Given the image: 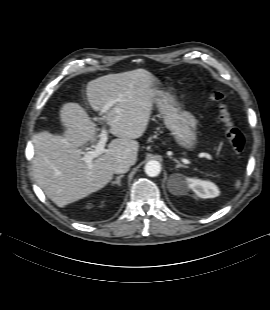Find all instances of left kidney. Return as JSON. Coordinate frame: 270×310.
<instances>
[{
  "instance_id": "1",
  "label": "left kidney",
  "mask_w": 270,
  "mask_h": 310,
  "mask_svg": "<svg viewBox=\"0 0 270 310\" xmlns=\"http://www.w3.org/2000/svg\"><path fill=\"white\" fill-rule=\"evenodd\" d=\"M184 183L200 198H214L220 194L218 187L210 181L185 178Z\"/></svg>"
}]
</instances>
